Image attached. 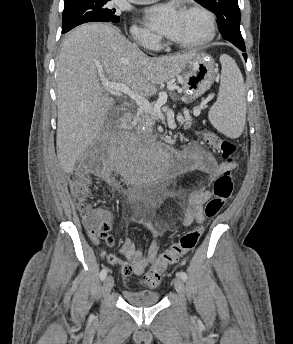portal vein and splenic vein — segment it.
<instances>
[{"instance_id": "portal-vein-and-splenic-vein-1", "label": "portal vein and splenic vein", "mask_w": 293, "mask_h": 344, "mask_svg": "<svg viewBox=\"0 0 293 344\" xmlns=\"http://www.w3.org/2000/svg\"><path fill=\"white\" fill-rule=\"evenodd\" d=\"M102 86L110 93H124L129 95L133 100H135L141 110L154 115L158 119H164V115L161 113L160 108L153 107L145 97L135 94L127 85L103 80Z\"/></svg>"}]
</instances>
